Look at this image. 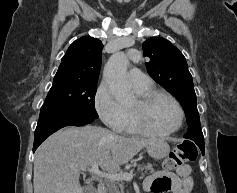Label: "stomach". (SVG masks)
Wrapping results in <instances>:
<instances>
[{
  "instance_id": "1",
  "label": "stomach",
  "mask_w": 237,
  "mask_h": 193,
  "mask_svg": "<svg viewBox=\"0 0 237 193\" xmlns=\"http://www.w3.org/2000/svg\"><path fill=\"white\" fill-rule=\"evenodd\" d=\"M147 153L154 159L165 158L170 152L168 143L163 139H157L146 147Z\"/></svg>"
}]
</instances>
